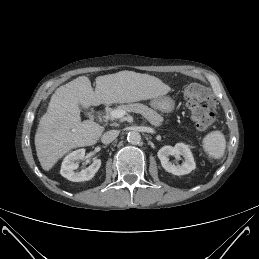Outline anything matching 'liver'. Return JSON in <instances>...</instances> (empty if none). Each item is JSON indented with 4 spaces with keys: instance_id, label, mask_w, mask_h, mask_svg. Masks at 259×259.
<instances>
[{
    "instance_id": "6515ba94",
    "label": "liver",
    "mask_w": 259,
    "mask_h": 259,
    "mask_svg": "<svg viewBox=\"0 0 259 259\" xmlns=\"http://www.w3.org/2000/svg\"><path fill=\"white\" fill-rule=\"evenodd\" d=\"M95 91L88 77L80 76L60 86L35 134L38 160L45 171L71 149L90 146L104 131L93 120L81 121L80 108L100 104L130 103L162 96L170 91L160 79L133 71L98 76Z\"/></svg>"
}]
</instances>
